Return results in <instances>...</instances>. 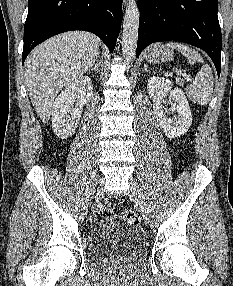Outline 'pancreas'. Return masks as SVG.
I'll return each mask as SVG.
<instances>
[{"mask_svg":"<svg viewBox=\"0 0 233 286\" xmlns=\"http://www.w3.org/2000/svg\"><path fill=\"white\" fill-rule=\"evenodd\" d=\"M179 85H182V81H181V79H177V81H176Z\"/></svg>","mask_w":233,"mask_h":286,"instance_id":"1","label":"pancreas"}]
</instances>
